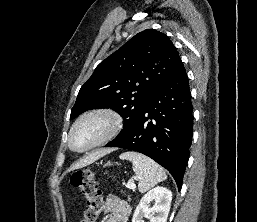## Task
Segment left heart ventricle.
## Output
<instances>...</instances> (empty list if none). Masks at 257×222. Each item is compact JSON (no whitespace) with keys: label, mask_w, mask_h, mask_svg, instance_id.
Here are the masks:
<instances>
[{"label":"left heart ventricle","mask_w":257,"mask_h":222,"mask_svg":"<svg viewBox=\"0 0 257 222\" xmlns=\"http://www.w3.org/2000/svg\"><path fill=\"white\" fill-rule=\"evenodd\" d=\"M107 128V121L103 117H91L82 121L73 132V147L83 150L91 146L104 135Z\"/></svg>","instance_id":"left-heart-ventricle-1"}]
</instances>
